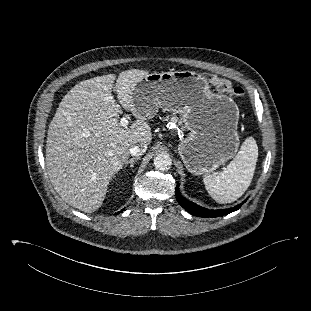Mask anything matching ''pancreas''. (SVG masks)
I'll return each mask as SVG.
<instances>
[{
  "label": "pancreas",
  "mask_w": 311,
  "mask_h": 311,
  "mask_svg": "<svg viewBox=\"0 0 311 311\" xmlns=\"http://www.w3.org/2000/svg\"><path fill=\"white\" fill-rule=\"evenodd\" d=\"M164 120H169V117L164 118ZM170 121L173 123H178L179 125L182 124V121L179 120L176 116L171 117Z\"/></svg>",
  "instance_id": "1"
}]
</instances>
